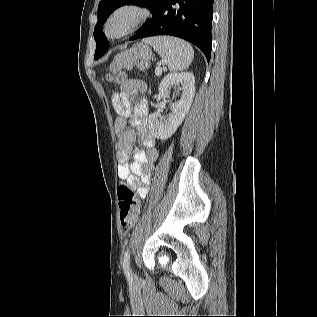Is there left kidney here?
I'll return each instance as SVG.
<instances>
[{
	"instance_id": "1",
	"label": "left kidney",
	"mask_w": 317,
	"mask_h": 317,
	"mask_svg": "<svg viewBox=\"0 0 317 317\" xmlns=\"http://www.w3.org/2000/svg\"><path fill=\"white\" fill-rule=\"evenodd\" d=\"M195 79L191 72L170 73L159 85V97L169 96L171 88L181 90L180 99L171 106V113L167 117L159 112L149 115V130L155 138L166 140L171 137L189 112L195 95Z\"/></svg>"
}]
</instances>
